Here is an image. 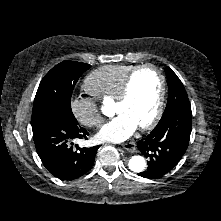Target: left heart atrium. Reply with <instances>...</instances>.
Listing matches in <instances>:
<instances>
[{
    "label": "left heart atrium",
    "mask_w": 221,
    "mask_h": 221,
    "mask_svg": "<svg viewBox=\"0 0 221 221\" xmlns=\"http://www.w3.org/2000/svg\"><path fill=\"white\" fill-rule=\"evenodd\" d=\"M138 128V125L126 114L120 113L106 123L97 138L103 141L121 142L129 138Z\"/></svg>",
    "instance_id": "1"
}]
</instances>
